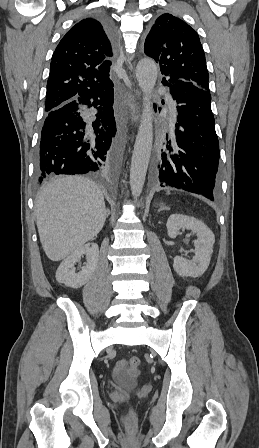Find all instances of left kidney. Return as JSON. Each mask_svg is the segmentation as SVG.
Wrapping results in <instances>:
<instances>
[{
	"label": "left kidney",
	"instance_id": "5707ae66",
	"mask_svg": "<svg viewBox=\"0 0 259 448\" xmlns=\"http://www.w3.org/2000/svg\"><path fill=\"white\" fill-rule=\"evenodd\" d=\"M167 230L169 238H176L180 234L179 230H192L197 236L195 242V256L193 260H185L181 256L174 258L173 268L179 276H191V278H200L206 272L213 252L215 242L214 234L208 226L189 216L181 214H172L167 220Z\"/></svg>",
	"mask_w": 259,
	"mask_h": 448
}]
</instances>
